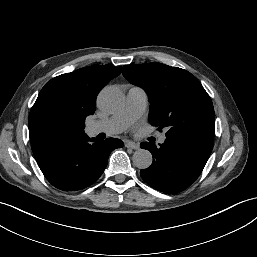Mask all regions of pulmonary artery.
Masks as SVG:
<instances>
[{
    "label": "pulmonary artery",
    "instance_id": "e3ab8cb5",
    "mask_svg": "<svg viewBox=\"0 0 257 257\" xmlns=\"http://www.w3.org/2000/svg\"><path fill=\"white\" fill-rule=\"evenodd\" d=\"M148 96L144 89L131 87L128 90L123 109L108 119L94 121L88 126L91 135L98 133L117 134L124 131L135 120L140 118L146 110ZM165 135L160 136L158 142H165Z\"/></svg>",
    "mask_w": 257,
    "mask_h": 257
}]
</instances>
